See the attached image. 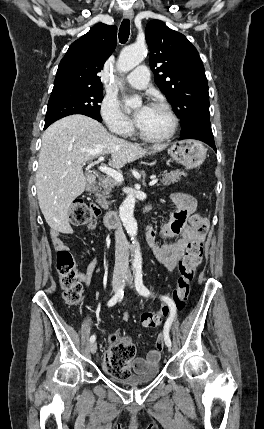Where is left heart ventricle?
Wrapping results in <instances>:
<instances>
[{"instance_id":"b2bd125f","label":"left heart ventricle","mask_w":264,"mask_h":429,"mask_svg":"<svg viewBox=\"0 0 264 429\" xmlns=\"http://www.w3.org/2000/svg\"><path fill=\"white\" fill-rule=\"evenodd\" d=\"M137 124L147 136L161 137L170 131L171 119L163 110L148 107Z\"/></svg>"}]
</instances>
